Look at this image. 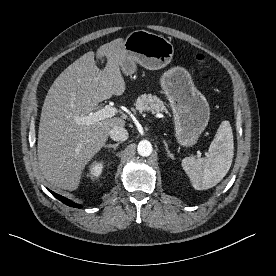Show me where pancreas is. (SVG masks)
Listing matches in <instances>:
<instances>
[{"instance_id": "cf45deb5", "label": "pancreas", "mask_w": 276, "mask_h": 276, "mask_svg": "<svg viewBox=\"0 0 276 276\" xmlns=\"http://www.w3.org/2000/svg\"><path fill=\"white\" fill-rule=\"evenodd\" d=\"M136 109L142 113L144 112H165L168 113V110L165 106V103L158 97L152 95H142L140 96L135 103Z\"/></svg>"}]
</instances>
